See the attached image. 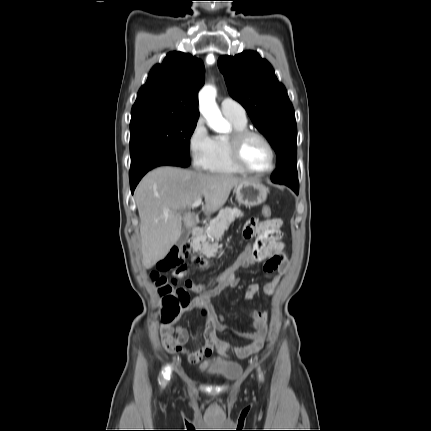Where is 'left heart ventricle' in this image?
<instances>
[{
	"label": "left heart ventricle",
	"mask_w": 431,
	"mask_h": 431,
	"mask_svg": "<svg viewBox=\"0 0 431 431\" xmlns=\"http://www.w3.org/2000/svg\"><path fill=\"white\" fill-rule=\"evenodd\" d=\"M242 157L246 165L255 170H266L271 166L270 151L257 137L246 140L242 147Z\"/></svg>",
	"instance_id": "1"
}]
</instances>
